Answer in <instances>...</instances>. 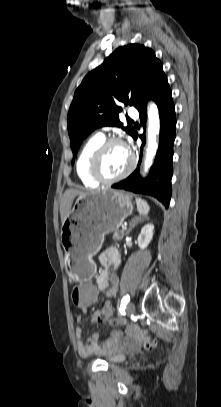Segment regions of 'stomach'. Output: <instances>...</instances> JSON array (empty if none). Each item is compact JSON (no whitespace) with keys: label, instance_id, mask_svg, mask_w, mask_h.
<instances>
[{"label":"stomach","instance_id":"0dacf381","mask_svg":"<svg viewBox=\"0 0 221 407\" xmlns=\"http://www.w3.org/2000/svg\"><path fill=\"white\" fill-rule=\"evenodd\" d=\"M133 211L128 194L112 189L79 196L61 227L65 266L76 282L94 274L93 256L101 249L106 234L117 231Z\"/></svg>","mask_w":221,"mask_h":407}]
</instances>
